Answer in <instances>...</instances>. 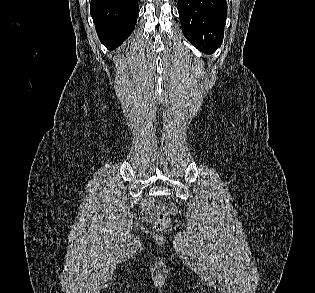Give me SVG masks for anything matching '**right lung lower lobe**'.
Returning <instances> with one entry per match:
<instances>
[{
    "label": "right lung lower lobe",
    "mask_w": 315,
    "mask_h": 293,
    "mask_svg": "<svg viewBox=\"0 0 315 293\" xmlns=\"http://www.w3.org/2000/svg\"><path fill=\"white\" fill-rule=\"evenodd\" d=\"M90 11L101 42L111 51L134 30L138 0H91Z\"/></svg>",
    "instance_id": "98d812e1"
}]
</instances>
